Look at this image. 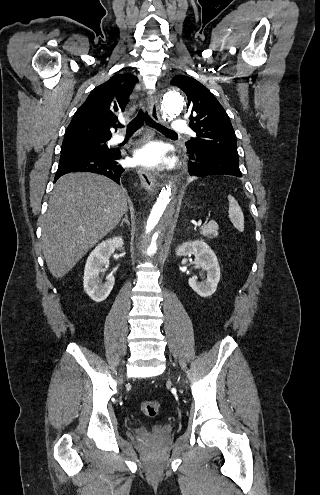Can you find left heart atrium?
I'll list each match as a JSON object with an SVG mask.
<instances>
[{
  "mask_svg": "<svg viewBox=\"0 0 320 495\" xmlns=\"http://www.w3.org/2000/svg\"><path fill=\"white\" fill-rule=\"evenodd\" d=\"M133 162L148 168H158L165 164L163 149L159 144H148L134 152Z\"/></svg>",
  "mask_w": 320,
  "mask_h": 495,
  "instance_id": "39dd6f15",
  "label": "left heart atrium"
}]
</instances>
